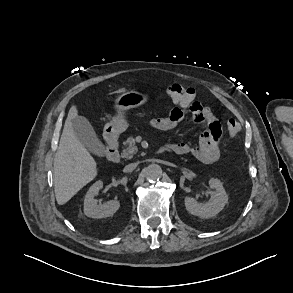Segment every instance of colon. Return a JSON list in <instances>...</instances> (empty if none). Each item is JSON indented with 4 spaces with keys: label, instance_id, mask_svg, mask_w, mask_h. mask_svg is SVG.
<instances>
[{
    "label": "colon",
    "instance_id": "colon-1",
    "mask_svg": "<svg viewBox=\"0 0 293 293\" xmlns=\"http://www.w3.org/2000/svg\"><path fill=\"white\" fill-rule=\"evenodd\" d=\"M165 93L179 107L187 110L192 109L197 104L198 96L192 88L180 84H171L165 87ZM240 129V124L236 120L230 119L227 122V130L231 136L237 135Z\"/></svg>",
    "mask_w": 293,
    "mask_h": 293
}]
</instances>
